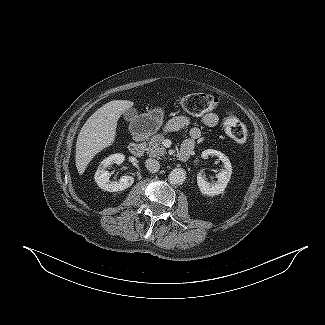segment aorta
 <instances>
[{
    "label": "aorta",
    "instance_id": "762f6f07",
    "mask_svg": "<svg viewBox=\"0 0 325 325\" xmlns=\"http://www.w3.org/2000/svg\"><path fill=\"white\" fill-rule=\"evenodd\" d=\"M186 179V171L183 168H174L169 174L171 184H182Z\"/></svg>",
    "mask_w": 325,
    "mask_h": 325
}]
</instances>
